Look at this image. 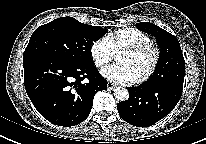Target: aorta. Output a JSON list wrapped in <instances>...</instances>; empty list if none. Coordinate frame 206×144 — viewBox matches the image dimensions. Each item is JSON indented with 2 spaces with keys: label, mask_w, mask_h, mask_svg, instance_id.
<instances>
[{
  "label": "aorta",
  "mask_w": 206,
  "mask_h": 144,
  "mask_svg": "<svg viewBox=\"0 0 206 144\" xmlns=\"http://www.w3.org/2000/svg\"><path fill=\"white\" fill-rule=\"evenodd\" d=\"M114 97L119 101H125L129 98L128 90L123 87H116L114 89Z\"/></svg>",
  "instance_id": "1"
}]
</instances>
